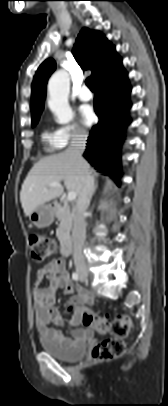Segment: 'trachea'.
Returning a JSON list of instances; mask_svg holds the SVG:
<instances>
[{"label": "trachea", "mask_w": 168, "mask_h": 406, "mask_svg": "<svg viewBox=\"0 0 168 406\" xmlns=\"http://www.w3.org/2000/svg\"><path fill=\"white\" fill-rule=\"evenodd\" d=\"M85 83H86V85L88 86V88H89L91 91H94V90H95V87H94V83H93L92 78L88 77V78L86 79Z\"/></svg>", "instance_id": "1"}]
</instances>
